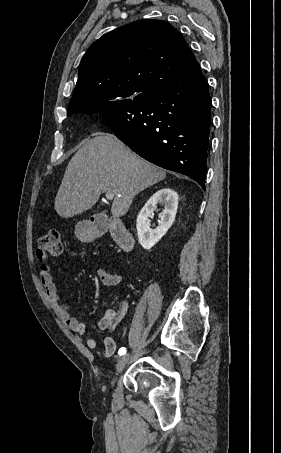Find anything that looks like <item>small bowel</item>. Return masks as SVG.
<instances>
[{"mask_svg": "<svg viewBox=\"0 0 281 453\" xmlns=\"http://www.w3.org/2000/svg\"><path fill=\"white\" fill-rule=\"evenodd\" d=\"M39 275L41 278L42 285L45 288L48 300L51 305L55 308L58 314L65 321L67 326L76 334L85 335L87 330L85 323L79 318L73 316L69 307L61 302L59 293L57 291L53 275L51 273L50 266L42 264L39 269ZM98 277L100 282L104 286H117L121 283L122 278L118 273H107L104 271H98ZM128 304L123 302L119 308V311L114 309H107L104 312L103 317L97 322V329L99 331H106L108 334L104 339V355L106 358L114 356L117 349V340L112 333L114 326H116L121 318H125L128 315ZM86 347L89 349H95L97 347V339L94 336H87L85 338Z\"/></svg>", "mask_w": 281, "mask_h": 453, "instance_id": "c3829d8e", "label": "small bowel"}]
</instances>
